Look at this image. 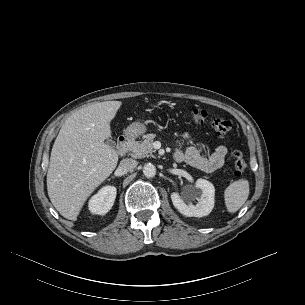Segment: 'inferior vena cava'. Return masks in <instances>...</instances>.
<instances>
[{"mask_svg":"<svg viewBox=\"0 0 305 305\" xmlns=\"http://www.w3.org/2000/svg\"><path fill=\"white\" fill-rule=\"evenodd\" d=\"M137 165H138V162L136 160L131 159V158H126L120 162L119 169L123 173H126V172L133 171L137 167Z\"/></svg>","mask_w":305,"mask_h":305,"instance_id":"602c4592","label":"inferior vena cava"}]
</instances>
